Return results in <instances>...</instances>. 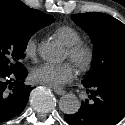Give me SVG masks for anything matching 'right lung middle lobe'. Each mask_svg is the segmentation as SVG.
I'll return each instance as SVG.
<instances>
[{"instance_id": "obj_1", "label": "right lung middle lobe", "mask_w": 125, "mask_h": 125, "mask_svg": "<svg viewBox=\"0 0 125 125\" xmlns=\"http://www.w3.org/2000/svg\"><path fill=\"white\" fill-rule=\"evenodd\" d=\"M55 21L52 15L46 18L35 30L15 29L5 23H0V67L16 70L22 67L20 60L24 58L30 37L39 29Z\"/></svg>"}]
</instances>
